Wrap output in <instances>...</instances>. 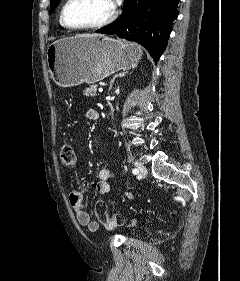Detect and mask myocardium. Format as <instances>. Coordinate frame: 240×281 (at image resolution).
<instances>
[{
    "mask_svg": "<svg viewBox=\"0 0 240 281\" xmlns=\"http://www.w3.org/2000/svg\"><path fill=\"white\" fill-rule=\"evenodd\" d=\"M72 0H66L61 8L60 13V20L64 27L71 29V30H89V29H97L104 27L108 24H110L117 16V7L114 1H112V11L111 13L103 20L93 23V24H87V25H71L67 22L65 12L67 9V6Z\"/></svg>",
    "mask_w": 240,
    "mask_h": 281,
    "instance_id": "myocardium-1",
    "label": "myocardium"
}]
</instances>
